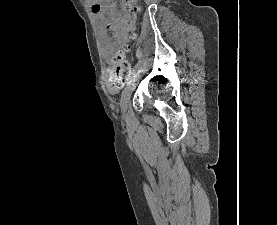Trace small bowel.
I'll list each match as a JSON object with an SVG mask.
<instances>
[{
    "label": "small bowel",
    "instance_id": "obj_1",
    "mask_svg": "<svg viewBox=\"0 0 277 225\" xmlns=\"http://www.w3.org/2000/svg\"><path fill=\"white\" fill-rule=\"evenodd\" d=\"M133 2L134 0H122L121 5L122 7H126ZM91 9L94 18L101 29L105 51L106 53H109L112 51L113 47L107 31L111 30L113 32L115 43H120L126 38V33L133 27V24H126L125 19L128 15H126L125 19H122L120 12L115 10L111 5L105 6L100 3H93L91 4ZM107 85L109 91L112 93L119 90V86L112 82L111 76L107 79Z\"/></svg>",
    "mask_w": 277,
    "mask_h": 225
}]
</instances>
